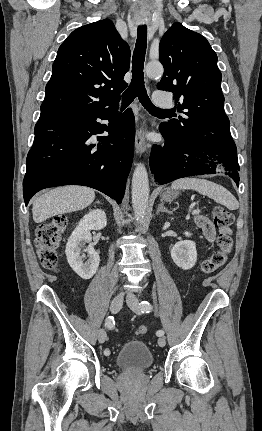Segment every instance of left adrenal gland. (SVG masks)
<instances>
[{"label":"left adrenal gland","mask_w":262,"mask_h":431,"mask_svg":"<svg viewBox=\"0 0 262 431\" xmlns=\"http://www.w3.org/2000/svg\"><path fill=\"white\" fill-rule=\"evenodd\" d=\"M160 212H165V213H168V214H171L172 212L171 211H169L165 206H164V203H163V200H161V203L159 204V206H158V208H157V214H159Z\"/></svg>","instance_id":"obj_1"}]
</instances>
